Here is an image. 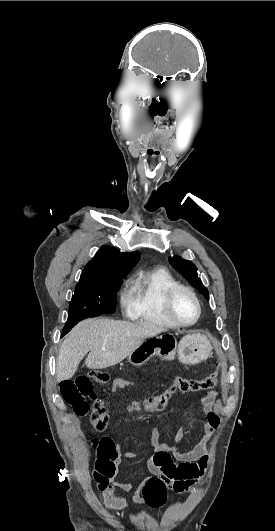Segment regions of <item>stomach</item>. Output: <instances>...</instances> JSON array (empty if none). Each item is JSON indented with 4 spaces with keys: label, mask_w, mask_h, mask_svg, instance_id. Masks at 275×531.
Returning <instances> with one entry per match:
<instances>
[{
    "label": "stomach",
    "mask_w": 275,
    "mask_h": 531,
    "mask_svg": "<svg viewBox=\"0 0 275 531\" xmlns=\"http://www.w3.org/2000/svg\"><path fill=\"white\" fill-rule=\"evenodd\" d=\"M212 351L213 347L208 337L202 333L185 335L178 345L171 333H162L143 339L142 343H139L128 355V363L140 367L157 355L166 361H173L178 357V361L183 365H199L211 357Z\"/></svg>",
    "instance_id": "stomach-1"
}]
</instances>
